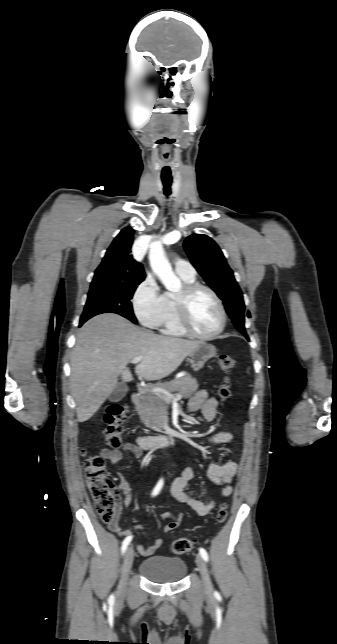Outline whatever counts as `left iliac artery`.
Segmentation results:
<instances>
[{"instance_id":"1","label":"left iliac artery","mask_w":337,"mask_h":644,"mask_svg":"<svg viewBox=\"0 0 337 644\" xmlns=\"http://www.w3.org/2000/svg\"><path fill=\"white\" fill-rule=\"evenodd\" d=\"M199 552L201 557L207 562L209 559L207 551L204 548H200Z\"/></svg>"}]
</instances>
